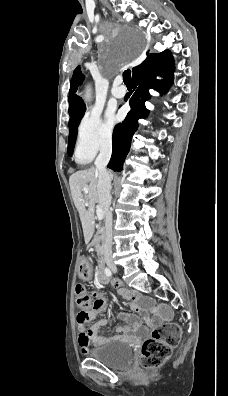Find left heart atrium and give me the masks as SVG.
Instances as JSON below:
<instances>
[{
  "label": "left heart atrium",
  "mask_w": 228,
  "mask_h": 396,
  "mask_svg": "<svg viewBox=\"0 0 228 396\" xmlns=\"http://www.w3.org/2000/svg\"><path fill=\"white\" fill-rule=\"evenodd\" d=\"M107 119L110 124H114L118 120L117 116L112 111L108 112Z\"/></svg>",
  "instance_id": "left-heart-atrium-1"
}]
</instances>
